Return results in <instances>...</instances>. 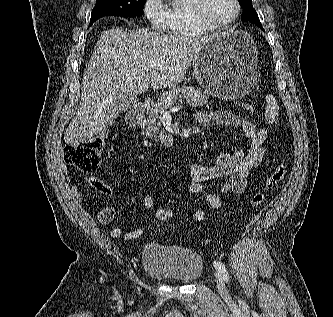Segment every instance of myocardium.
Listing matches in <instances>:
<instances>
[{
  "instance_id": "f54148a6",
  "label": "myocardium",
  "mask_w": 333,
  "mask_h": 317,
  "mask_svg": "<svg viewBox=\"0 0 333 317\" xmlns=\"http://www.w3.org/2000/svg\"><path fill=\"white\" fill-rule=\"evenodd\" d=\"M233 2L235 4V13L229 20L223 23H213L207 19L205 15L206 0H190L189 10L194 23L198 27L207 32L216 31L228 28L229 26L234 24L239 18L242 8L241 3L239 0H233Z\"/></svg>"
}]
</instances>
